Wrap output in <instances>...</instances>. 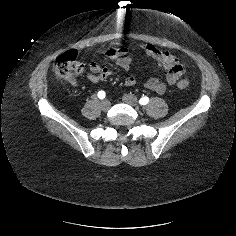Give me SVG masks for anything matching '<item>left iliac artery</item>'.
<instances>
[{
  "label": "left iliac artery",
  "mask_w": 236,
  "mask_h": 236,
  "mask_svg": "<svg viewBox=\"0 0 236 236\" xmlns=\"http://www.w3.org/2000/svg\"><path fill=\"white\" fill-rule=\"evenodd\" d=\"M149 102V98L148 97H142L140 100H139V103L141 105H146L147 103Z\"/></svg>",
  "instance_id": "44dca946"
}]
</instances>
